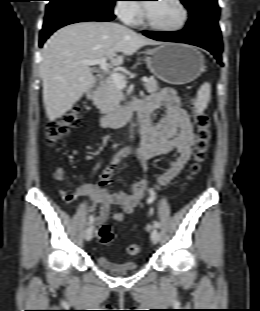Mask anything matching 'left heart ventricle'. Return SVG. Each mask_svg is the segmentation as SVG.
I'll return each mask as SVG.
<instances>
[{"instance_id":"1","label":"left heart ventricle","mask_w":260,"mask_h":311,"mask_svg":"<svg viewBox=\"0 0 260 311\" xmlns=\"http://www.w3.org/2000/svg\"><path fill=\"white\" fill-rule=\"evenodd\" d=\"M145 6L149 19L156 25L171 27L181 20L182 12L173 0H158Z\"/></svg>"}]
</instances>
